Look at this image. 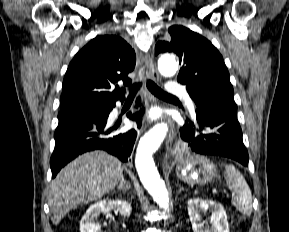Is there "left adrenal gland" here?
Returning a JSON list of instances; mask_svg holds the SVG:
<instances>
[{"mask_svg": "<svg viewBox=\"0 0 289 232\" xmlns=\"http://www.w3.org/2000/svg\"><path fill=\"white\" fill-rule=\"evenodd\" d=\"M182 190H184V188H183V187H180V188H179V193H180Z\"/></svg>", "mask_w": 289, "mask_h": 232, "instance_id": "1", "label": "left adrenal gland"}]
</instances>
